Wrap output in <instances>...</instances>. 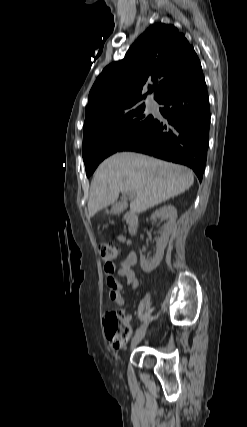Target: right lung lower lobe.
Wrapping results in <instances>:
<instances>
[{"label": "right lung lower lobe", "instance_id": "1", "mask_svg": "<svg viewBox=\"0 0 247 427\" xmlns=\"http://www.w3.org/2000/svg\"><path fill=\"white\" fill-rule=\"evenodd\" d=\"M166 119L150 124L120 151H135L186 165L202 181L209 144L210 111L202 71L173 88L158 101Z\"/></svg>", "mask_w": 247, "mask_h": 427}]
</instances>
